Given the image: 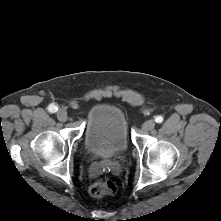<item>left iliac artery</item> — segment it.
I'll return each instance as SVG.
<instances>
[{
	"instance_id": "left-iliac-artery-1",
	"label": "left iliac artery",
	"mask_w": 221,
	"mask_h": 221,
	"mask_svg": "<svg viewBox=\"0 0 221 221\" xmlns=\"http://www.w3.org/2000/svg\"><path fill=\"white\" fill-rule=\"evenodd\" d=\"M155 121H156L157 123H162V122H163V117H162L161 115H159V116H157V117L155 118Z\"/></svg>"
}]
</instances>
